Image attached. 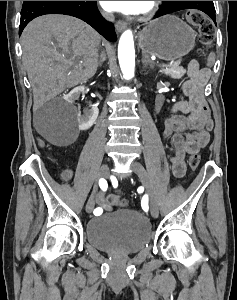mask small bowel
<instances>
[{
	"label": "small bowel",
	"mask_w": 237,
	"mask_h": 300,
	"mask_svg": "<svg viewBox=\"0 0 237 300\" xmlns=\"http://www.w3.org/2000/svg\"><path fill=\"white\" fill-rule=\"evenodd\" d=\"M188 79L183 83L182 90L188 97L186 101H179L172 106V115L162 125V136L170 144V164L175 177L185 175V156L198 152L205 147L213 129V120L205 99L206 86L211 77L209 68H200L196 60L186 65ZM74 172L65 169L61 179L65 182L72 180ZM79 188H88L89 182L83 179L76 180ZM95 204L103 210H110L107 193L103 190L91 196Z\"/></svg>",
	"instance_id": "small-bowel-1"
}]
</instances>
